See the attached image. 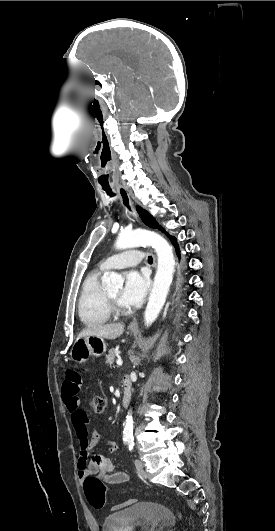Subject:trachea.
<instances>
[{
	"label": "trachea",
	"mask_w": 275,
	"mask_h": 531,
	"mask_svg": "<svg viewBox=\"0 0 275 531\" xmlns=\"http://www.w3.org/2000/svg\"><path fill=\"white\" fill-rule=\"evenodd\" d=\"M104 191H106V193L109 195V196H115V194L112 192L111 188L110 187H103ZM148 261H153L152 257L151 256H148Z\"/></svg>",
	"instance_id": "1"
}]
</instances>
